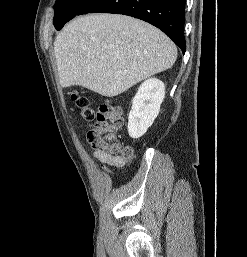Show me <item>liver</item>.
Segmentation results:
<instances>
[{
  "label": "liver",
  "instance_id": "liver-1",
  "mask_svg": "<svg viewBox=\"0 0 247 257\" xmlns=\"http://www.w3.org/2000/svg\"><path fill=\"white\" fill-rule=\"evenodd\" d=\"M60 85H79L114 97L173 66L175 44L142 20L119 14H91L68 23L56 36Z\"/></svg>",
  "mask_w": 247,
  "mask_h": 257
}]
</instances>
